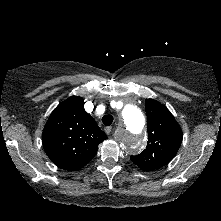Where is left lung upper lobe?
I'll list each match as a JSON object with an SVG mask.
<instances>
[{"instance_id": "5c2ea615", "label": "left lung upper lobe", "mask_w": 221, "mask_h": 221, "mask_svg": "<svg viewBox=\"0 0 221 221\" xmlns=\"http://www.w3.org/2000/svg\"><path fill=\"white\" fill-rule=\"evenodd\" d=\"M148 143L146 149L130 156L139 168L151 171L168 164L177 153L182 142V130L174 116L154 99L145 100Z\"/></svg>"}]
</instances>
